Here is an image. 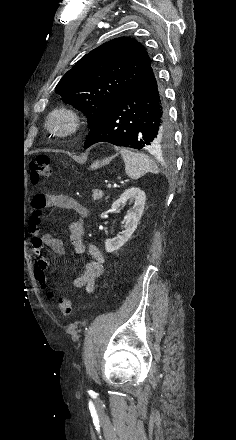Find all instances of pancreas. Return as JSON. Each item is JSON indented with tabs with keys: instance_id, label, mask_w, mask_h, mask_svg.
Listing matches in <instances>:
<instances>
[{
	"instance_id": "obj_1",
	"label": "pancreas",
	"mask_w": 236,
	"mask_h": 440,
	"mask_svg": "<svg viewBox=\"0 0 236 440\" xmlns=\"http://www.w3.org/2000/svg\"><path fill=\"white\" fill-rule=\"evenodd\" d=\"M102 196H103V192L101 190L96 189L93 191L92 197L94 200H99L102 198Z\"/></svg>"
}]
</instances>
